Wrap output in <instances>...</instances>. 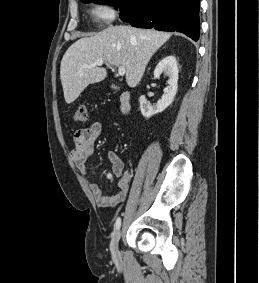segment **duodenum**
I'll list each match as a JSON object with an SVG mask.
<instances>
[{"label": "duodenum", "mask_w": 259, "mask_h": 283, "mask_svg": "<svg viewBox=\"0 0 259 283\" xmlns=\"http://www.w3.org/2000/svg\"><path fill=\"white\" fill-rule=\"evenodd\" d=\"M130 93L124 92L120 97L121 111L127 113L130 110Z\"/></svg>", "instance_id": "duodenum-1"}]
</instances>
